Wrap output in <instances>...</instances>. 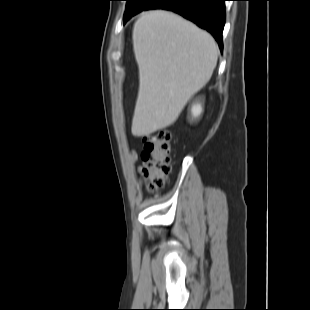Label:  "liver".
Listing matches in <instances>:
<instances>
[{
  "label": "liver",
  "mask_w": 310,
  "mask_h": 310,
  "mask_svg": "<svg viewBox=\"0 0 310 310\" xmlns=\"http://www.w3.org/2000/svg\"><path fill=\"white\" fill-rule=\"evenodd\" d=\"M139 91L132 134L148 136L173 124L210 80L219 49L213 37L163 10L143 13L133 27Z\"/></svg>",
  "instance_id": "1"
}]
</instances>
